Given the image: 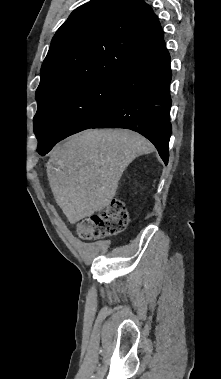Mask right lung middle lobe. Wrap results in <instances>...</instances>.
Wrapping results in <instances>:
<instances>
[{
  "mask_svg": "<svg viewBox=\"0 0 221 379\" xmlns=\"http://www.w3.org/2000/svg\"><path fill=\"white\" fill-rule=\"evenodd\" d=\"M119 78L120 74H102L36 98L34 132L38 149L91 128L110 106Z\"/></svg>",
  "mask_w": 221,
  "mask_h": 379,
  "instance_id": "right-lung-middle-lobe-1",
  "label": "right lung middle lobe"
}]
</instances>
